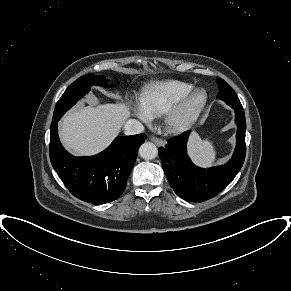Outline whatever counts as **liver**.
I'll use <instances>...</instances> for the list:
<instances>
[{
    "mask_svg": "<svg viewBox=\"0 0 291 291\" xmlns=\"http://www.w3.org/2000/svg\"><path fill=\"white\" fill-rule=\"evenodd\" d=\"M129 116L123 103L81 107L64 116L60 139L76 155H93L111 143Z\"/></svg>",
    "mask_w": 291,
    "mask_h": 291,
    "instance_id": "obj_1",
    "label": "liver"
}]
</instances>
